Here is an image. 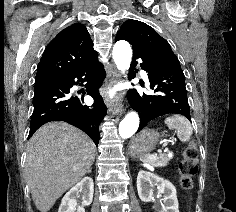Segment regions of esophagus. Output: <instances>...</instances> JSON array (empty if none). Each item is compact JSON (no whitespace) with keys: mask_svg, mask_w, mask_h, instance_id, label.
<instances>
[{"mask_svg":"<svg viewBox=\"0 0 236 212\" xmlns=\"http://www.w3.org/2000/svg\"><path fill=\"white\" fill-rule=\"evenodd\" d=\"M119 82V74L116 69H113L111 72V75L108 79V83L110 85H115ZM108 108L109 111L112 114H118L121 113L124 109V104H123V95L122 93H118L115 97V99L111 102L108 103Z\"/></svg>","mask_w":236,"mask_h":212,"instance_id":"obj_1","label":"esophagus"}]
</instances>
